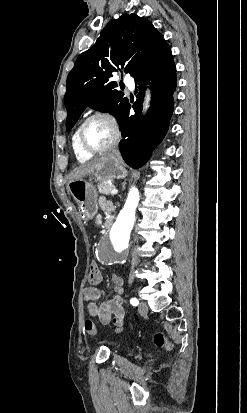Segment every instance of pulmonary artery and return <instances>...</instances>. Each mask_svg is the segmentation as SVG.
<instances>
[{"mask_svg": "<svg viewBox=\"0 0 247 413\" xmlns=\"http://www.w3.org/2000/svg\"><path fill=\"white\" fill-rule=\"evenodd\" d=\"M123 80L129 87H132L133 84L135 83L130 76H124Z\"/></svg>", "mask_w": 247, "mask_h": 413, "instance_id": "e3ab8cb5", "label": "pulmonary artery"}]
</instances>
